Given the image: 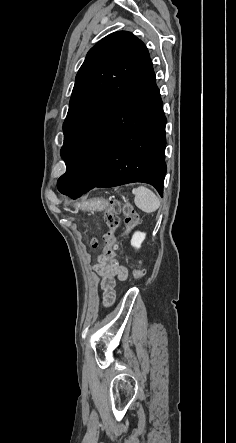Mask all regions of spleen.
Wrapping results in <instances>:
<instances>
[{"mask_svg": "<svg viewBox=\"0 0 236 443\" xmlns=\"http://www.w3.org/2000/svg\"><path fill=\"white\" fill-rule=\"evenodd\" d=\"M135 195V205L146 213L155 212L160 206V200L155 193L147 187L139 186L132 190Z\"/></svg>", "mask_w": 236, "mask_h": 443, "instance_id": "obj_1", "label": "spleen"}]
</instances>
